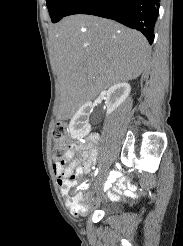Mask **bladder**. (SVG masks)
<instances>
[{"instance_id":"31cf9c89","label":"bladder","mask_w":183,"mask_h":246,"mask_svg":"<svg viewBox=\"0 0 183 246\" xmlns=\"http://www.w3.org/2000/svg\"><path fill=\"white\" fill-rule=\"evenodd\" d=\"M103 210L105 213H113L115 209L111 205H104Z\"/></svg>"}]
</instances>
